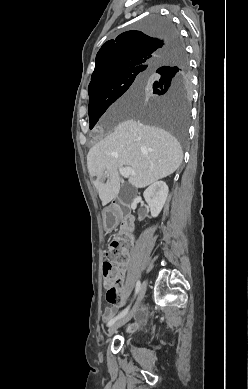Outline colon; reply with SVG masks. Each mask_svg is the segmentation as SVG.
I'll return each instance as SVG.
<instances>
[{"instance_id":"colon-1","label":"colon","mask_w":248,"mask_h":389,"mask_svg":"<svg viewBox=\"0 0 248 389\" xmlns=\"http://www.w3.org/2000/svg\"><path fill=\"white\" fill-rule=\"evenodd\" d=\"M129 250V242L126 239H114L109 244L106 256L107 260L103 263V276L105 282L106 300L110 304H116L118 301L119 290L121 287L122 272L118 263L126 259ZM124 333H133V326H124Z\"/></svg>"}]
</instances>
